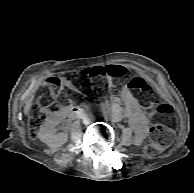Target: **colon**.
<instances>
[{"label":"colon","instance_id":"obj_1","mask_svg":"<svg viewBox=\"0 0 194 193\" xmlns=\"http://www.w3.org/2000/svg\"><path fill=\"white\" fill-rule=\"evenodd\" d=\"M87 78L102 83L104 79L120 81L124 79L129 69L122 65L95 66L83 70ZM76 84L74 74H67L63 77L47 78L39 91L34 112L29 121V132L35 136L39 127L48 114L58 110L59 106L69 102L74 93L73 87ZM129 89L141 94V104L153 117L162 120L152 127V140L147 147L148 154H156L169 147L175 139V127L172 121L173 110L170 105L161 103L152 86L141 77H134L128 83ZM68 88L69 90H65Z\"/></svg>","mask_w":194,"mask_h":193}]
</instances>
